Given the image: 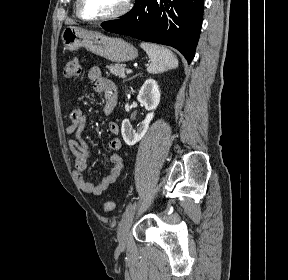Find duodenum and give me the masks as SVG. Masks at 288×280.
I'll return each mask as SVG.
<instances>
[{"label": "duodenum", "mask_w": 288, "mask_h": 280, "mask_svg": "<svg viewBox=\"0 0 288 280\" xmlns=\"http://www.w3.org/2000/svg\"><path fill=\"white\" fill-rule=\"evenodd\" d=\"M115 105H116V102H115V101H112L111 104H110V106H111L112 108H114Z\"/></svg>", "instance_id": "1"}]
</instances>
